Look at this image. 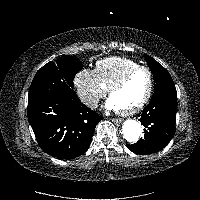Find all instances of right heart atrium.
<instances>
[{
	"instance_id": "1",
	"label": "right heart atrium",
	"mask_w": 200,
	"mask_h": 200,
	"mask_svg": "<svg viewBox=\"0 0 200 200\" xmlns=\"http://www.w3.org/2000/svg\"><path fill=\"white\" fill-rule=\"evenodd\" d=\"M73 86L80 101L90 109L96 108L106 94V88L99 81L95 70L89 68H81L75 73Z\"/></svg>"
}]
</instances>
